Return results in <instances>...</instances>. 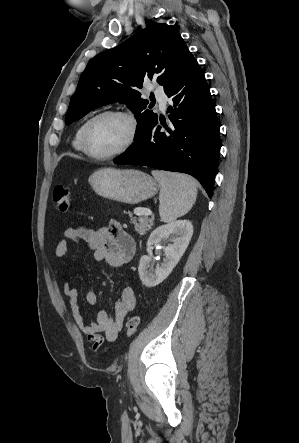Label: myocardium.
<instances>
[{"label":"myocardium","instance_id":"f54148a6","mask_svg":"<svg viewBox=\"0 0 299 443\" xmlns=\"http://www.w3.org/2000/svg\"><path fill=\"white\" fill-rule=\"evenodd\" d=\"M104 116H115V117L123 118L128 123L129 134H128L126 141L124 142V144L120 148H118L117 150H115L111 153L99 155V154L93 153L88 146V132H89V128L92 125V123L95 122L97 119L104 117ZM137 131H138V126H137L136 119L129 112H126L123 110H116V109L104 110V111H101V112L93 115L91 118H89L85 122L83 129H82V134H81V145H82L84 153L86 155H88L90 158L95 159V160H109V159H113L119 155H122L134 144L136 137H137Z\"/></svg>","mask_w":299,"mask_h":443}]
</instances>
